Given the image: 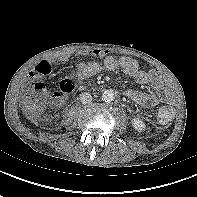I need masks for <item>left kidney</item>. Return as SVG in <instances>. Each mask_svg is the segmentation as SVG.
<instances>
[{
	"label": "left kidney",
	"instance_id": "5707ae66",
	"mask_svg": "<svg viewBox=\"0 0 197 197\" xmlns=\"http://www.w3.org/2000/svg\"><path fill=\"white\" fill-rule=\"evenodd\" d=\"M132 126L135 130H137L138 132H142L145 130V123L139 119V118H134L132 120Z\"/></svg>",
	"mask_w": 197,
	"mask_h": 197
}]
</instances>
